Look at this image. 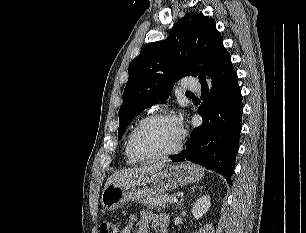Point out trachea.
<instances>
[{
    "instance_id": "trachea-1",
    "label": "trachea",
    "mask_w": 306,
    "mask_h": 233,
    "mask_svg": "<svg viewBox=\"0 0 306 233\" xmlns=\"http://www.w3.org/2000/svg\"><path fill=\"white\" fill-rule=\"evenodd\" d=\"M188 94H192L191 92H187Z\"/></svg>"
}]
</instances>
